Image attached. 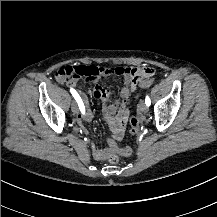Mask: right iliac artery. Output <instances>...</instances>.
I'll use <instances>...</instances> for the list:
<instances>
[{
    "label": "right iliac artery",
    "mask_w": 217,
    "mask_h": 217,
    "mask_svg": "<svg viewBox=\"0 0 217 217\" xmlns=\"http://www.w3.org/2000/svg\"><path fill=\"white\" fill-rule=\"evenodd\" d=\"M70 92L73 95V97L75 98L76 102L78 103L80 111L84 114L85 113V106L83 104V101H82L81 97L76 92V90L73 89V88H70Z\"/></svg>",
    "instance_id": "1"
}]
</instances>
